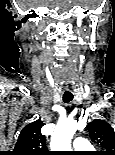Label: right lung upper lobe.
Listing matches in <instances>:
<instances>
[{
    "label": "right lung upper lobe",
    "instance_id": "cb5924a9",
    "mask_svg": "<svg viewBox=\"0 0 115 155\" xmlns=\"http://www.w3.org/2000/svg\"><path fill=\"white\" fill-rule=\"evenodd\" d=\"M42 126L40 120L26 125L20 132L11 155H49L45 137L41 134Z\"/></svg>",
    "mask_w": 115,
    "mask_h": 155
}]
</instances>
